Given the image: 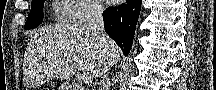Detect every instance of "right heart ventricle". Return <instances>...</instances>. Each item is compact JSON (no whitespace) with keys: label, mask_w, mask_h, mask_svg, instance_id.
<instances>
[{"label":"right heart ventricle","mask_w":216,"mask_h":90,"mask_svg":"<svg viewBox=\"0 0 216 90\" xmlns=\"http://www.w3.org/2000/svg\"><path fill=\"white\" fill-rule=\"evenodd\" d=\"M56 19H63L64 16H68L69 13H73V9H67L66 7H57ZM55 24H66V20H55Z\"/></svg>","instance_id":"e07e8e85"}]
</instances>
